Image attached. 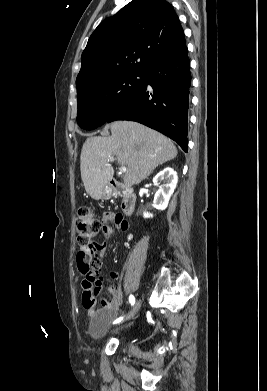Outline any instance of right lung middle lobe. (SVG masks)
<instances>
[{
    "label": "right lung middle lobe",
    "instance_id": "1",
    "mask_svg": "<svg viewBox=\"0 0 267 391\" xmlns=\"http://www.w3.org/2000/svg\"><path fill=\"white\" fill-rule=\"evenodd\" d=\"M143 82V72L137 71L114 73L90 82L77 95L79 126L92 130L103 125L142 87Z\"/></svg>",
    "mask_w": 267,
    "mask_h": 391
}]
</instances>
